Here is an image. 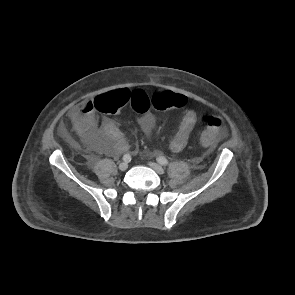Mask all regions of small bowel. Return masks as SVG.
I'll use <instances>...</instances> for the list:
<instances>
[{"instance_id": "1", "label": "small bowel", "mask_w": 295, "mask_h": 295, "mask_svg": "<svg viewBox=\"0 0 295 295\" xmlns=\"http://www.w3.org/2000/svg\"><path fill=\"white\" fill-rule=\"evenodd\" d=\"M180 126L172 138L169 148L173 153H181L187 146L190 135L197 122L196 110L186 104ZM78 135L83 142L94 151L113 155L124 152L135 153L131 149L126 138L108 118L101 119L98 123V117L95 114L92 100H85L79 103L69 114ZM142 129L147 135H152L155 119L151 114H145L140 118ZM157 153V150L154 151Z\"/></svg>"}]
</instances>
